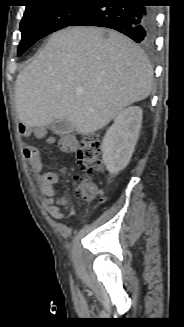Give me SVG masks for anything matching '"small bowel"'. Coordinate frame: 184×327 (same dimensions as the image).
<instances>
[{"label": "small bowel", "mask_w": 184, "mask_h": 327, "mask_svg": "<svg viewBox=\"0 0 184 327\" xmlns=\"http://www.w3.org/2000/svg\"><path fill=\"white\" fill-rule=\"evenodd\" d=\"M21 134L28 136L32 130L30 127L21 124L19 126ZM37 137L45 138L47 130L45 128L38 129L34 132ZM58 147L64 154H71L77 147V141L72 136H65L58 142ZM23 155L28 162V165L32 172L39 174L41 192L45 197V204L47 206L48 213L54 219H62L63 212L62 207L66 205L65 198H56L57 187L59 179L56 174L43 170V157L39 148L34 146L25 147Z\"/></svg>", "instance_id": "1"}]
</instances>
